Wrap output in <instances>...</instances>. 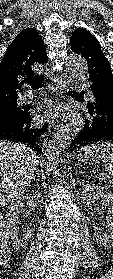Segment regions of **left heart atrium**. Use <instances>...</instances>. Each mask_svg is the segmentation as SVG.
<instances>
[{"label":"left heart atrium","instance_id":"39dd6f15","mask_svg":"<svg viewBox=\"0 0 113 279\" xmlns=\"http://www.w3.org/2000/svg\"><path fill=\"white\" fill-rule=\"evenodd\" d=\"M55 110L56 109H55V107L52 104L47 103L44 106V108L42 109L41 116L42 117H49V116H51L55 112Z\"/></svg>","mask_w":113,"mask_h":279}]
</instances>
